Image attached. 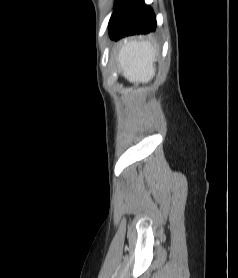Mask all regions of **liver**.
<instances>
[{
  "mask_svg": "<svg viewBox=\"0 0 238 278\" xmlns=\"http://www.w3.org/2000/svg\"><path fill=\"white\" fill-rule=\"evenodd\" d=\"M156 48L148 40H125L117 62L122 75L132 83H147L155 75Z\"/></svg>",
  "mask_w": 238,
  "mask_h": 278,
  "instance_id": "6515ba94",
  "label": "liver"
}]
</instances>
